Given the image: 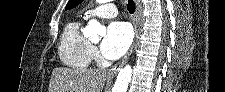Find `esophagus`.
<instances>
[{"instance_id": "34e87169", "label": "esophagus", "mask_w": 225, "mask_h": 92, "mask_svg": "<svg viewBox=\"0 0 225 92\" xmlns=\"http://www.w3.org/2000/svg\"><path fill=\"white\" fill-rule=\"evenodd\" d=\"M136 3V13L133 19V25H134V39L133 42L129 48V50L127 51V53L125 54V56L119 61L117 62L110 70H109V74L110 75H116L119 70L128 62L132 51L136 45L138 36L140 34V7H141V3L140 0H135Z\"/></svg>"}]
</instances>
